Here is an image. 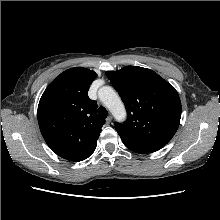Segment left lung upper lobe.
<instances>
[{
	"label": "left lung upper lobe",
	"mask_w": 220,
	"mask_h": 220,
	"mask_svg": "<svg viewBox=\"0 0 220 220\" xmlns=\"http://www.w3.org/2000/svg\"><path fill=\"white\" fill-rule=\"evenodd\" d=\"M125 104L128 119L116 124L124 145L147 154L164 147L176 133L181 101L175 88L154 71L126 66L106 72Z\"/></svg>",
	"instance_id": "5c2ea615"
}]
</instances>
